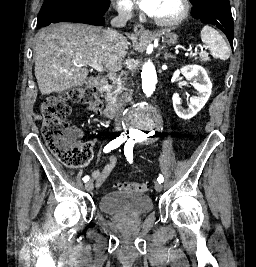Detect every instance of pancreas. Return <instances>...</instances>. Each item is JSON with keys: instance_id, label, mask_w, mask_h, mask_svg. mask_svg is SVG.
<instances>
[{"instance_id": "1", "label": "pancreas", "mask_w": 256, "mask_h": 267, "mask_svg": "<svg viewBox=\"0 0 256 267\" xmlns=\"http://www.w3.org/2000/svg\"><path fill=\"white\" fill-rule=\"evenodd\" d=\"M199 58H200V62H209L210 58H208V54H206V52H203V54H199ZM120 80H117V78H115V80H112V90L113 92H116V94H111L110 98H117L118 94H120V92H118L119 88H120Z\"/></svg>"}]
</instances>
